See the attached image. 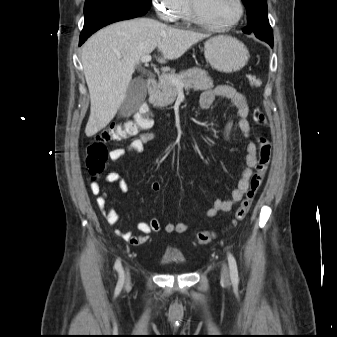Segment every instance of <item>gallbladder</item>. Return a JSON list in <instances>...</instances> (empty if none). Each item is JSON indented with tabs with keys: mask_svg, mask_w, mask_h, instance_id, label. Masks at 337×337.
Masks as SVG:
<instances>
[{
	"mask_svg": "<svg viewBox=\"0 0 337 337\" xmlns=\"http://www.w3.org/2000/svg\"><path fill=\"white\" fill-rule=\"evenodd\" d=\"M146 95V83L142 78L134 79L128 86L126 98L120 108V114L129 116L136 111Z\"/></svg>",
	"mask_w": 337,
	"mask_h": 337,
	"instance_id": "1",
	"label": "gallbladder"
}]
</instances>
